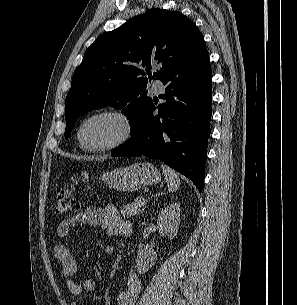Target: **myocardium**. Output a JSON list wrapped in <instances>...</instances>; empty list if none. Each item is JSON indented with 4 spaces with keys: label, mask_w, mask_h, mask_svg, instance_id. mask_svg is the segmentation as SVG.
Segmentation results:
<instances>
[{
    "label": "myocardium",
    "mask_w": 297,
    "mask_h": 305,
    "mask_svg": "<svg viewBox=\"0 0 297 305\" xmlns=\"http://www.w3.org/2000/svg\"><path fill=\"white\" fill-rule=\"evenodd\" d=\"M102 117H108L115 119L116 121L119 122L121 126V134L119 135L118 138L115 140L101 144V145H88L84 142L83 137H82V131L84 126L91 120L97 119V118H102ZM133 132V124L125 113L119 110L115 109H103V110H98L95 112H92L85 116L77 125L76 127V139L78 141V144L80 148L84 151L87 152H105V151H110L114 150L122 145H124L130 138Z\"/></svg>",
    "instance_id": "obj_1"
}]
</instances>
